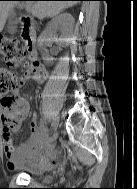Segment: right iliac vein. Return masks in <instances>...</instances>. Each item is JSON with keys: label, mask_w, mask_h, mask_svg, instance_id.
<instances>
[{"label": "right iliac vein", "mask_w": 137, "mask_h": 189, "mask_svg": "<svg viewBox=\"0 0 137 189\" xmlns=\"http://www.w3.org/2000/svg\"><path fill=\"white\" fill-rule=\"evenodd\" d=\"M59 119L55 118L52 122V130L55 131L58 128Z\"/></svg>", "instance_id": "right-iliac-vein-1"}]
</instances>
